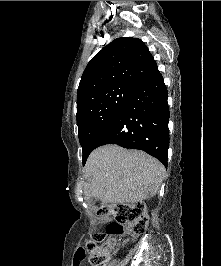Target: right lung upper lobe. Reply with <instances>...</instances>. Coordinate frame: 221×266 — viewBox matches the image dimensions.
<instances>
[{"instance_id": "right-lung-upper-lobe-1", "label": "right lung upper lobe", "mask_w": 221, "mask_h": 266, "mask_svg": "<svg viewBox=\"0 0 221 266\" xmlns=\"http://www.w3.org/2000/svg\"><path fill=\"white\" fill-rule=\"evenodd\" d=\"M157 71V64L143 41L117 38L88 63L77 90V104L96 90L118 85L137 87Z\"/></svg>"}]
</instances>
